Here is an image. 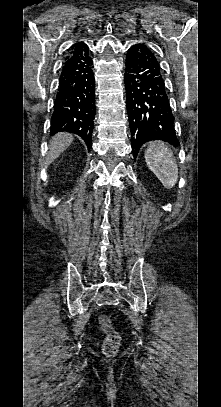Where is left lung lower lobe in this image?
Segmentation results:
<instances>
[{"mask_svg": "<svg viewBox=\"0 0 221 407\" xmlns=\"http://www.w3.org/2000/svg\"><path fill=\"white\" fill-rule=\"evenodd\" d=\"M125 87L134 158L150 140L178 145L167 88L154 51L145 44L130 47L126 56Z\"/></svg>", "mask_w": 221, "mask_h": 407, "instance_id": "0a47b994", "label": "left lung lower lobe"}]
</instances>
